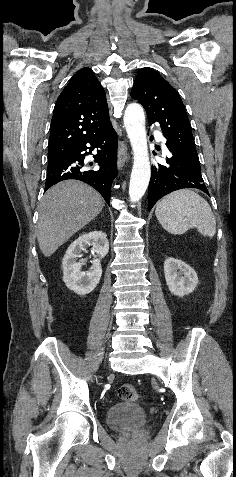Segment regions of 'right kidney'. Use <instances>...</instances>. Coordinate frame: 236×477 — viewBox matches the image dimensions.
Wrapping results in <instances>:
<instances>
[{
    "label": "right kidney",
    "instance_id": "right-kidney-1",
    "mask_svg": "<svg viewBox=\"0 0 236 477\" xmlns=\"http://www.w3.org/2000/svg\"><path fill=\"white\" fill-rule=\"evenodd\" d=\"M87 246H92V253L95 256L92 267L87 271H81L82 262H78L77 259L82 257V252ZM108 251L109 242L104 232L94 231L80 236L68 247L62 260L65 285L78 295L92 292L102 276L100 260L107 255Z\"/></svg>",
    "mask_w": 236,
    "mask_h": 477
}]
</instances>
